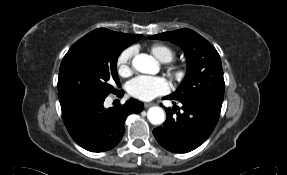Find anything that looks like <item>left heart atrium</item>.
Here are the masks:
<instances>
[{
	"label": "left heart atrium",
	"mask_w": 287,
	"mask_h": 175,
	"mask_svg": "<svg viewBox=\"0 0 287 175\" xmlns=\"http://www.w3.org/2000/svg\"><path fill=\"white\" fill-rule=\"evenodd\" d=\"M126 88L130 96L149 101L166 94L170 90V84L164 77L138 76L129 81Z\"/></svg>",
	"instance_id": "left-heart-atrium-1"
}]
</instances>
